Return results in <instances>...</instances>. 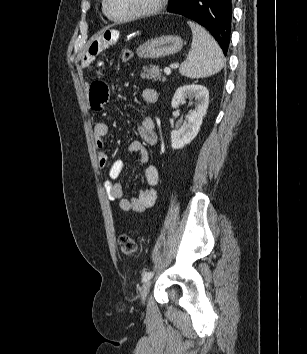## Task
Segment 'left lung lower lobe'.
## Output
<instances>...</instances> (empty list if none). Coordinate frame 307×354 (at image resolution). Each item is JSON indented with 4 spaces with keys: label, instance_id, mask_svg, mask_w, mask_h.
I'll list each match as a JSON object with an SVG mask.
<instances>
[{
    "label": "left lung lower lobe",
    "instance_id": "0a47b994",
    "mask_svg": "<svg viewBox=\"0 0 307 354\" xmlns=\"http://www.w3.org/2000/svg\"><path fill=\"white\" fill-rule=\"evenodd\" d=\"M168 11L204 26L227 54L231 33L232 0H172Z\"/></svg>",
    "mask_w": 307,
    "mask_h": 354
}]
</instances>
